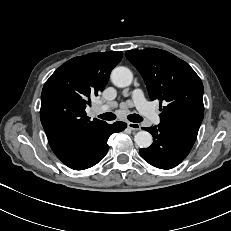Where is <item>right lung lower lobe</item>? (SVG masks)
I'll return each instance as SVG.
<instances>
[{
  "mask_svg": "<svg viewBox=\"0 0 231 231\" xmlns=\"http://www.w3.org/2000/svg\"><path fill=\"white\" fill-rule=\"evenodd\" d=\"M126 126L127 124L123 122L108 124L104 129L85 140L75 154L64 164L75 170H84L96 165L109 149L107 144L109 136L124 130Z\"/></svg>",
  "mask_w": 231,
  "mask_h": 231,
  "instance_id": "98d812e1",
  "label": "right lung lower lobe"
}]
</instances>
